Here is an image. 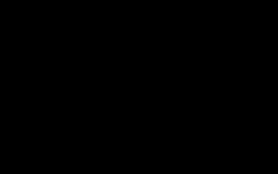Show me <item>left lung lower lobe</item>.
Here are the masks:
<instances>
[{
  "instance_id": "obj_1",
  "label": "left lung lower lobe",
  "mask_w": 278,
  "mask_h": 174,
  "mask_svg": "<svg viewBox=\"0 0 278 174\" xmlns=\"http://www.w3.org/2000/svg\"><path fill=\"white\" fill-rule=\"evenodd\" d=\"M215 92L214 77L197 76L156 94L151 107L156 139L170 147L196 139L211 114Z\"/></svg>"
}]
</instances>
